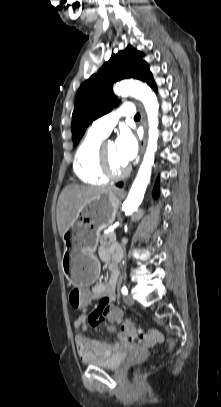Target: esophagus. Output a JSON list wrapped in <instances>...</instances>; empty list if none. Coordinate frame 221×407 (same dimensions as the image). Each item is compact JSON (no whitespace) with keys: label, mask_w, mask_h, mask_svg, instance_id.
I'll use <instances>...</instances> for the list:
<instances>
[{"label":"esophagus","mask_w":221,"mask_h":407,"mask_svg":"<svg viewBox=\"0 0 221 407\" xmlns=\"http://www.w3.org/2000/svg\"><path fill=\"white\" fill-rule=\"evenodd\" d=\"M140 109H141L142 124H143L144 130H145L144 138L142 140V145H141V154H143L144 149H145L146 139H147V122H146L145 112H144V109L142 108V106H140Z\"/></svg>","instance_id":"obj_1"}]
</instances>
